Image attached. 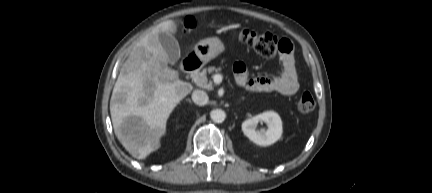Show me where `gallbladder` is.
<instances>
[{
  "mask_svg": "<svg viewBox=\"0 0 432 193\" xmlns=\"http://www.w3.org/2000/svg\"><path fill=\"white\" fill-rule=\"evenodd\" d=\"M158 39L168 55V62L175 64L180 59V47L176 38L167 32H159Z\"/></svg>",
  "mask_w": 432,
  "mask_h": 193,
  "instance_id": "bac80fb5",
  "label": "gallbladder"
}]
</instances>
